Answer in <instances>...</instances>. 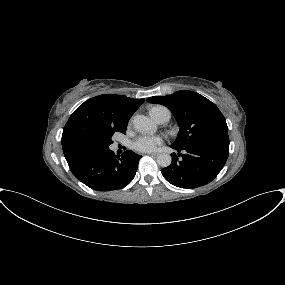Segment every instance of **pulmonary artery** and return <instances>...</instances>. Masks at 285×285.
Listing matches in <instances>:
<instances>
[{
    "instance_id": "1",
    "label": "pulmonary artery",
    "mask_w": 285,
    "mask_h": 285,
    "mask_svg": "<svg viewBox=\"0 0 285 285\" xmlns=\"http://www.w3.org/2000/svg\"><path fill=\"white\" fill-rule=\"evenodd\" d=\"M169 116L168 115H160L159 117H157L156 121L159 123V124H164L166 123L168 120H169Z\"/></svg>"
}]
</instances>
